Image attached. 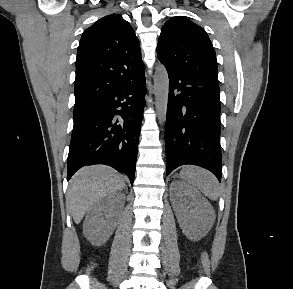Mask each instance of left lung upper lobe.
<instances>
[{"label":"left lung upper lobe","instance_id":"obj_1","mask_svg":"<svg viewBox=\"0 0 293 289\" xmlns=\"http://www.w3.org/2000/svg\"><path fill=\"white\" fill-rule=\"evenodd\" d=\"M157 54L167 71L218 83L213 45L204 29L185 17H172L163 25Z\"/></svg>","mask_w":293,"mask_h":289}]
</instances>
